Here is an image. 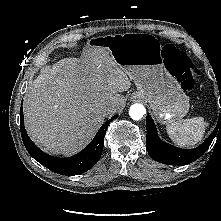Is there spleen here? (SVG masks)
<instances>
[{"label":"spleen","mask_w":221,"mask_h":221,"mask_svg":"<svg viewBox=\"0 0 221 221\" xmlns=\"http://www.w3.org/2000/svg\"><path fill=\"white\" fill-rule=\"evenodd\" d=\"M207 125L203 117H193L171 123L166 126V130L174 143L191 147L203 139Z\"/></svg>","instance_id":"1"}]
</instances>
